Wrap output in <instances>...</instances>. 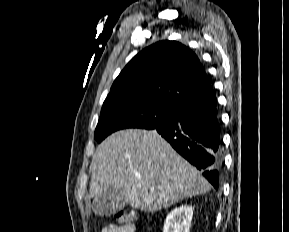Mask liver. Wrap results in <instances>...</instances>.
I'll return each mask as SVG.
<instances>
[{
	"mask_svg": "<svg viewBox=\"0 0 289 232\" xmlns=\"http://www.w3.org/2000/svg\"><path fill=\"white\" fill-rule=\"evenodd\" d=\"M90 171V198L121 190L126 204L146 212L211 189L201 173L155 130L113 133L97 147Z\"/></svg>",
	"mask_w": 289,
	"mask_h": 232,
	"instance_id": "obj_1",
	"label": "liver"
}]
</instances>
